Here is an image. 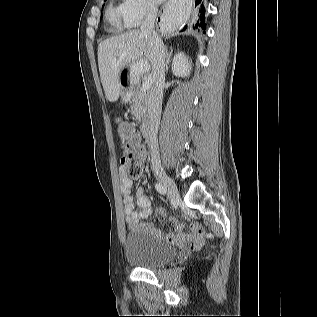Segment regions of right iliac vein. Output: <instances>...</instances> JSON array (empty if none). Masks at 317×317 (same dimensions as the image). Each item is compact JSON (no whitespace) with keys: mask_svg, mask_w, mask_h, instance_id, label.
<instances>
[{"mask_svg":"<svg viewBox=\"0 0 317 317\" xmlns=\"http://www.w3.org/2000/svg\"><path fill=\"white\" fill-rule=\"evenodd\" d=\"M157 175L167 189L170 197L176 200L178 198V190L174 181L162 171L158 172Z\"/></svg>","mask_w":317,"mask_h":317,"instance_id":"right-iliac-vein-1","label":"right iliac vein"}]
</instances>
